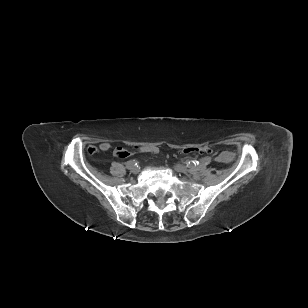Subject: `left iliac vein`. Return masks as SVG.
Returning a JSON list of instances; mask_svg holds the SVG:
<instances>
[{"label":"left iliac vein","instance_id":"left-iliac-vein-1","mask_svg":"<svg viewBox=\"0 0 308 308\" xmlns=\"http://www.w3.org/2000/svg\"><path fill=\"white\" fill-rule=\"evenodd\" d=\"M174 169H175V171L181 172V173H187L188 172L187 167L180 165V164L174 165Z\"/></svg>","mask_w":308,"mask_h":308}]
</instances>
